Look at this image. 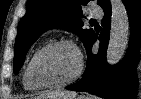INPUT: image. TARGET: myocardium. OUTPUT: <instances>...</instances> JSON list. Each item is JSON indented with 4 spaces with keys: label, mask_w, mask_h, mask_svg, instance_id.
Segmentation results:
<instances>
[{
    "label": "myocardium",
    "mask_w": 141,
    "mask_h": 99,
    "mask_svg": "<svg viewBox=\"0 0 141 99\" xmlns=\"http://www.w3.org/2000/svg\"><path fill=\"white\" fill-rule=\"evenodd\" d=\"M70 47L75 50L77 56H78V69L77 71L68 79L60 81V82H42L39 81L35 75H34V67L38 59L48 52L51 49L57 48V47ZM84 71V60L82 57L81 52L79 51L78 47L73 43L72 41L69 40H59V41H54L49 44H46L45 46L41 47L32 57L29 66H28V78L30 82L39 88L46 89V88H59V87H64L67 86L73 82H75L77 79L81 77Z\"/></svg>",
    "instance_id": "obj_1"
}]
</instances>
